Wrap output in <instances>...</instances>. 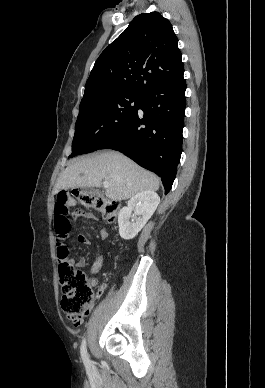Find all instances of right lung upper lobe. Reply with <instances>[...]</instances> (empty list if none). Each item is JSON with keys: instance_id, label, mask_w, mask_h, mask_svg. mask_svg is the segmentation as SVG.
<instances>
[{"instance_id": "1", "label": "right lung upper lobe", "mask_w": 265, "mask_h": 388, "mask_svg": "<svg viewBox=\"0 0 265 388\" xmlns=\"http://www.w3.org/2000/svg\"><path fill=\"white\" fill-rule=\"evenodd\" d=\"M183 73L178 39L170 22L158 12L142 13L96 60L83 98L102 90L142 95Z\"/></svg>"}]
</instances>
